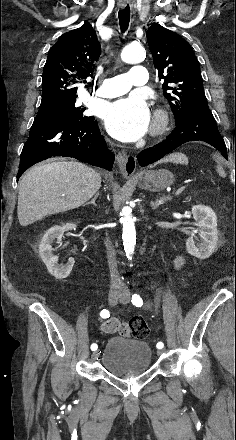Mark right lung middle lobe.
I'll return each instance as SVG.
<instances>
[{"instance_id":"obj_1","label":"right lung middle lobe","mask_w":236,"mask_h":440,"mask_svg":"<svg viewBox=\"0 0 236 440\" xmlns=\"http://www.w3.org/2000/svg\"><path fill=\"white\" fill-rule=\"evenodd\" d=\"M76 100L40 106L38 114H55L69 117L75 120L88 119L90 116L83 114L84 108L75 105Z\"/></svg>"}]
</instances>
